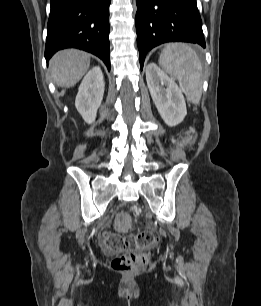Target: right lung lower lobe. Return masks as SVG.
<instances>
[{
	"label": "right lung lower lobe",
	"mask_w": 261,
	"mask_h": 306,
	"mask_svg": "<svg viewBox=\"0 0 261 306\" xmlns=\"http://www.w3.org/2000/svg\"><path fill=\"white\" fill-rule=\"evenodd\" d=\"M110 3L111 0H51L46 60L60 49L78 48L98 56L110 70Z\"/></svg>",
	"instance_id": "98d812e1"
}]
</instances>
